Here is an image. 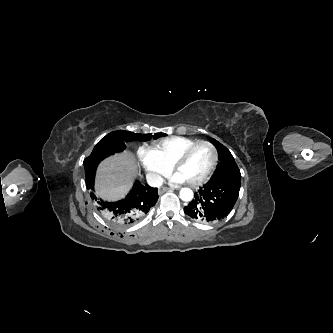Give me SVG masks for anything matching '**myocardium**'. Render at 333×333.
Instances as JSON below:
<instances>
[{"mask_svg": "<svg viewBox=\"0 0 333 333\" xmlns=\"http://www.w3.org/2000/svg\"><path fill=\"white\" fill-rule=\"evenodd\" d=\"M200 145H206L208 147H210L214 153V158H213V162L209 168V170L199 179H196L194 181H189L188 184L191 186H198L203 184L204 182H206L214 173V171L216 170V167L218 165V161H219V152L218 149L216 148V146L211 143L210 141L207 140H198L197 142L193 143L192 145L188 146L186 149H184L179 155L178 157L175 159V161L173 162L171 168L174 172H177V169L186 162L187 158L189 157L190 153L198 146Z\"/></svg>", "mask_w": 333, "mask_h": 333, "instance_id": "1", "label": "myocardium"}]
</instances>
